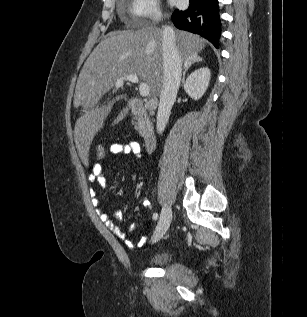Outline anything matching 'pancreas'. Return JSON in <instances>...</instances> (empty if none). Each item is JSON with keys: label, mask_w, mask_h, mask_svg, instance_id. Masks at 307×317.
Here are the masks:
<instances>
[{"label": "pancreas", "mask_w": 307, "mask_h": 317, "mask_svg": "<svg viewBox=\"0 0 307 317\" xmlns=\"http://www.w3.org/2000/svg\"><path fill=\"white\" fill-rule=\"evenodd\" d=\"M135 119H136L135 129L138 130V132H139L140 134H143V133H144L145 127L151 125L150 120H149V118L146 116V114H144V115H138V116L135 117Z\"/></svg>", "instance_id": "cf45deb5"}]
</instances>
